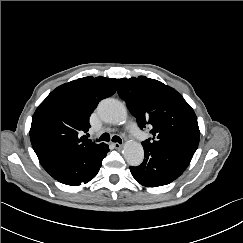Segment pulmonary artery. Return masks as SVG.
<instances>
[{
	"label": "pulmonary artery",
	"instance_id": "1",
	"mask_svg": "<svg viewBox=\"0 0 243 243\" xmlns=\"http://www.w3.org/2000/svg\"><path fill=\"white\" fill-rule=\"evenodd\" d=\"M127 131L132 137H137L138 127L131 122L127 125Z\"/></svg>",
	"mask_w": 243,
	"mask_h": 243
}]
</instances>
